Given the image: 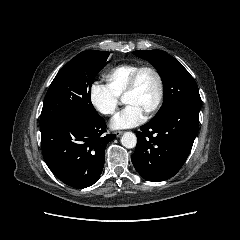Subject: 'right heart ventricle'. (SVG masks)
Listing matches in <instances>:
<instances>
[{"label": "right heart ventricle", "instance_id": "1", "mask_svg": "<svg viewBox=\"0 0 240 240\" xmlns=\"http://www.w3.org/2000/svg\"><path fill=\"white\" fill-rule=\"evenodd\" d=\"M138 67L136 63H124L111 68L105 74L107 84L117 95L123 96L131 75Z\"/></svg>", "mask_w": 240, "mask_h": 240}]
</instances>
